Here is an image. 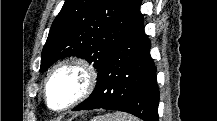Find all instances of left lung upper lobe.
<instances>
[{
  "label": "left lung upper lobe",
  "mask_w": 217,
  "mask_h": 121,
  "mask_svg": "<svg viewBox=\"0 0 217 121\" xmlns=\"http://www.w3.org/2000/svg\"><path fill=\"white\" fill-rule=\"evenodd\" d=\"M140 0H66L42 50L40 71L55 61L78 56L99 71L128 31Z\"/></svg>",
  "instance_id": "5c2ea615"
}]
</instances>
